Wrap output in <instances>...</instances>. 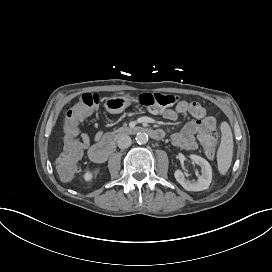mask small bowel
<instances>
[{
  "instance_id": "c3829d8e",
  "label": "small bowel",
  "mask_w": 272,
  "mask_h": 272,
  "mask_svg": "<svg viewBox=\"0 0 272 272\" xmlns=\"http://www.w3.org/2000/svg\"><path fill=\"white\" fill-rule=\"evenodd\" d=\"M179 114L188 115L190 118L179 132L172 135V142L184 150H194L198 147L195 135H201L208 122H214L217 125L216 119L213 116H208L206 109L194 101L181 100L173 109L163 111V116L170 121H175ZM79 139L83 144V150L88 149L91 144L89 136L82 133Z\"/></svg>"
}]
</instances>
